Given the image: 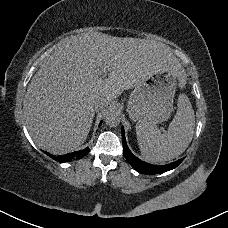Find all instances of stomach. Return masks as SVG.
Segmentation results:
<instances>
[{
    "label": "stomach",
    "mask_w": 228,
    "mask_h": 228,
    "mask_svg": "<svg viewBox=\"0 0 228 228\" xmlns=\"http://www.w3.org/2000/svg\"><path fill=\"white\" fill-rule=\"evenodd\" d=\"M177 76L172 71H157L135 86L128 101L132 120L159 124L169 119L177 88Z\"/></svg>",
    "instance_id": "stomach-1"
}]
</instances>
